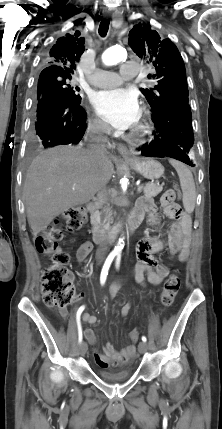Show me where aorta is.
<instances>
[{
	"label": "aorta",
	"mask_w": 222,
	"mask_h": 429,
	"mask_svg": "<svg viewBox=\"0 0 222 429\" xmlns=\"http://www.w3.org/2000/svg\"><path fill=\"white\" fill-rule=\"evenodd\" d=\"M127 57V52L123 47L113 46L108 48L102 54V61L107 66L115 65ZM124 247L123 239H119L118 245L115 247L114 252H121Z\"/></svg>",
	"instance_id": "aorta-1"
}]
</instances>
